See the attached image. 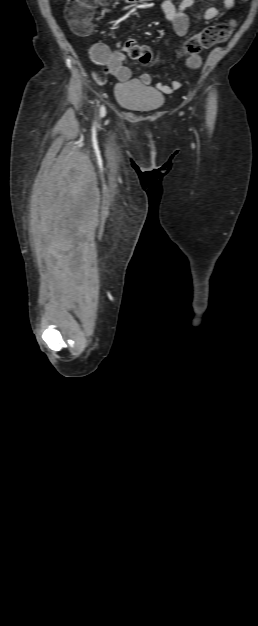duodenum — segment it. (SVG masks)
I'll use <instances>...</instances> for the list:
<instances>
[{"label": "duodenum", "instance_id": "obj_1", "mask_svg": "<svg viewBox=\"0 0 258 626\" xmlns=\"http://www.w3.org/2000/svg\"><path fill=\"white\" fill-rule=\"evenodd\" d=\"M127 3H137V2H145V1H151V0H124Z\"/></svg>", "mask_w": 258, "mask_h": 626}]
</instances>
